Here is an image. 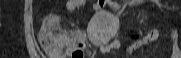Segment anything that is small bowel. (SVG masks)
<instances>
[{
    "instance_id": "obj_1",
    "label": "small bowel",
    "mask_w": 181,
    "mask_h": 58,
    "mask_svg": "<svg viewBox=\"0 0 181 58\" xmlns=\"http://www.w3.org/2000/svg\"><path fill=\"white\" fill-rule=\"evenodd\" d=\"M86 3H87L86 0H68L65 4V7L68 11H74V10H77V9L83 7ZM92 4L95 9H100L102 6H104L106 4V2L101 1V0H95V1H92ZM110 6L113 9H118V5L116 3H111ZM73 35L77 38L84 40V36L81 32H75V33H73ZM157 39H158V32L152 31L149 34H147L145 37H143L142 39L138 40L134 44V47H138L142 44H145V43L151 42V41H155ZM172 39L174 41V44L172 47L171 58H181V50L179 49V47L177 45V34L174 30H172ZM118 48H119V43L117 41H115L106 46H101L100 53L103 55H106L108 53L115 51Z\"/></svg>"
}]
</instances>
